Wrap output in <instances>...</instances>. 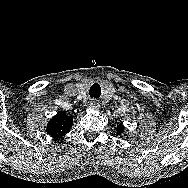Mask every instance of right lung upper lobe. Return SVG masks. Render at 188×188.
Instances as JSON below:
<instances>
[{
  "label": "right lung upper lobe",
  "instance_id": "cb5924a9",
  "mask_svg": "<svg viewBox=\"0 0 188 188\" xmlns=\"http://www.w3.org/2000/svg\"><path fill=\"white\" fill-rule=\"evenodd\" d=\"M73 119L61 112H58L48 122L46 132L55 139L62 138L72 127Z\"/></svg>",
  "mask_w": 188,
  "mask_h": 188
}]
</instances>
